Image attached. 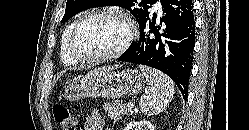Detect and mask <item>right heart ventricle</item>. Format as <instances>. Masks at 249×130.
<instances>
[{
	"label": "right heart ventricle",
	"instance_id": "e07e8e85",
	"mask_svg": "<svg viewBox=\"0 0 249 130\" xmlns=\"http://www.w3.org/2000/svg\"><path fill=\"white\" fill-rule=\"evenodd\" d=\"M75 21L71 22L64 30L60 41V58L65 65H75L76 61L72 59L67 51V42L71 32V29Z\"/></svg>",
	"mask_w": 249,
	"mask_h": 130
}]
</instances>
